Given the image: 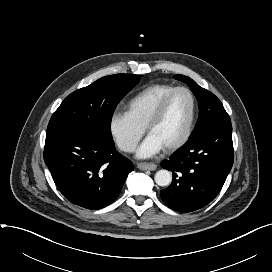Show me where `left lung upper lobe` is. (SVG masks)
Returning <instances> with one entry per match:
<instances>
[{
  "label": "left lung upper lobe",
  "mask_w": 272,
  "mask_h": 272,
  "mask_svg": "<svg viewBox=\"0 0 272 272\" xmlns=\"http://www.w3.org/2000/svg\"><path fill=\"white\" fill-rule=\"evenodd\" d=\"M174 78L187 83L199 103V119L191 136L215 126L231 124L230 117L221 101L213 93L184 75L178 74Z\"/></svg>",
  "instance_id": "1"
}]
</instances>
